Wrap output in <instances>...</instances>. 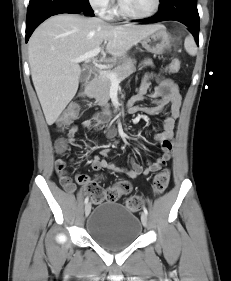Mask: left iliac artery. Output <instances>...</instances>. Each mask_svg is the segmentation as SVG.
I'll return each instance as SVG.
<instances>
[{
	"label": "left iliac artery",
	"mask_w": 231,
	"mask_h": 281,
	"mask_svg": "<svg viewBox=\"0 0 231 281\" xmlns=\"http://www.w3.org/2000/svg\"><path fill=\"white\" fill-rule=\"evenodd\" d=\"M143 211L146 215H148V211H147L146 207H143Z\"/></svg>",
	"instance_id": "1"
}]
</instances>
